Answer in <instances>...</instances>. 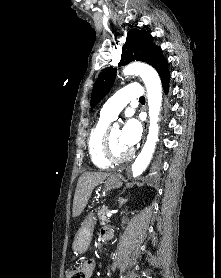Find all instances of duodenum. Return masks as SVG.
Returning <instances> with one entry per match:
<instances>
[{"mask_svg":"<svg viewBox=\"0 0 221 278\" xmlns=\"http://www.w3.org/2000/svg\"><path fill=\"white\" fill-rule=\"evenodd\" d=\"M112 231L111 230H109V229H105L104 230V233H103V239L105 240V241H110L111 240V238H112Z\"/></svg>","mask_w":221,"mask_h":278,"instance_id":"410a0bca","label":"duodenum"}]
</instances>
